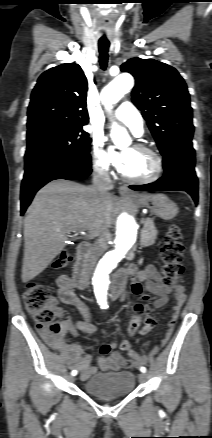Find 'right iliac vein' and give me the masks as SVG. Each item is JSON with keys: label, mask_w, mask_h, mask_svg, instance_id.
I'll list each match as a JSON object with an SVG mask.
<instances>
[{"label": "right iliac vein", "mask_w": 212, "mask_h": 438, "mask_svg": "<svg viewBox=\"0 0 212 438\" xmlns=\"http://www.w3.org/2000/svg\"><path fill=\"white\" fill-rule=\"evenodd\" d=\"M70 381H74L75 380V378L74 377H72V376H70Z\"/></svg>", "instance_id": "right-iliac-vein-1"}]
</instances>
